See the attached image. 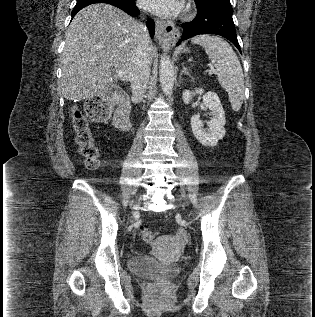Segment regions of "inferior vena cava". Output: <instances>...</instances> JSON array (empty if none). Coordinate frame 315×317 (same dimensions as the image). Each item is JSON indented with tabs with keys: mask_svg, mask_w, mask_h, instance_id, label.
Segmentation results:
<instances>
[{
	"mask_svg": "<svg viewBox=\"0 0 315 317\" xmlns=\"http://www.w3.org/2000/svg\"><path fill=\"white\" fill-rule=\"evenodd\" d=\"M141 27L143 36L138 46L137 57L130 79L132 96L137 100L143 99L150 77V60L148 54L150 36L146 27L144 25H141Z\"/></svg>",
	"mask_w": 315,
	"mask_h": 317,
	"instance_id": "602c4592",
	"label": "inferior vena cava"
}]
</instances>
